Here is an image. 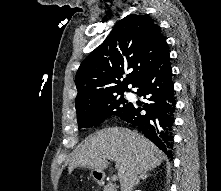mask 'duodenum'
Listing matches in <instances>:
<instances>
[{
    "label": "duodenum",
    "instance_id": "1",
    "mask_svg": "<svg viewBox=\"0 0 221 191\" xmlns=\"http://www.w3.org/2000/svg\"><path fill=\"white\" fill-rule=\"evenodd\" d=\"M98 181H99L100 183H104V182H105V176L102 175V174H99V175H98Z\"/></svg>",
    "mask_w": 221,
    "mask_h": 191
}]
</instances>
